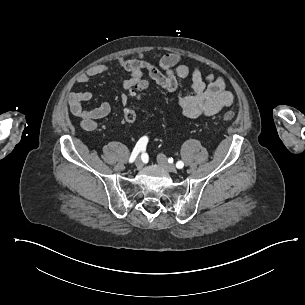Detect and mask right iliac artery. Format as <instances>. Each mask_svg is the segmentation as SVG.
<instances>
[{
    "label": "right iliac artery",
    "instance_id": "obj_1",
    "mask_svg": "<svg viewBox=\"0 0 305 305\" xmlns=\"http://www.w3.org/2000/svg\"><path fill=\"white\" fill-rule=\"evenodd\" d=\"M148 142V137L144 136L142 138L139 139V141L137 142L135 148L133 149V152L130 156L129 162L132 163L135 158L137 157V155L139 154L140 151H144L146 148Z\"/></svg>",
    "mask_w": 305,
    "mask_h": 305
}]
</instances>
